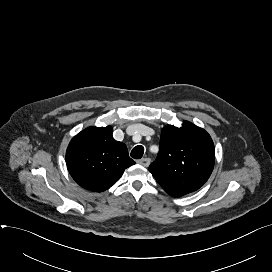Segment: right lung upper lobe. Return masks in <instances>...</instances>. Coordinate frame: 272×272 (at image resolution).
Listing matches in <instances>:
<instances>
[{"label": "right lung upper lobe", "instance_id": "1", "mask_svg": "<svg viewBox=\"0 0 272 272\" xmlns=\"http://www.w3.org/2000/svg\"><path fill=\"white\" fill-rule=\"evenodd\" d=\"M113 129L88 127L70 142L66 164L72 178L83 188L102 192L115 184L135 162L124 143L114 140Z\"/></svg>", "mask_w": 272, "mask_h": 272}]
</instances>
